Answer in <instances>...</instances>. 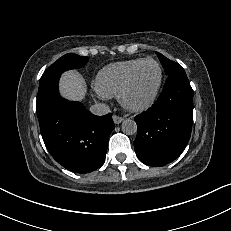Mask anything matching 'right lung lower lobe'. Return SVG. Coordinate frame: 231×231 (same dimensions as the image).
<instances>
[{"instance_id":"98d812e1","label":"right lung lower lobe","mask_w":231,"mask_h":231,"mask_svg":"<svg viewBox=\"0 0 231 231\" xmlns=\"http://www.w3.org/2000/svg\"><path fill=\"white\" fill-rule=\"evenodd\" d=\"M59 78L55 75L39 83L36 111L43 140L52 157L66 169L92 172L104 162L115 128L112 114L95 116L81 103L61 98Z\"/></svg>"}]
</instances>
